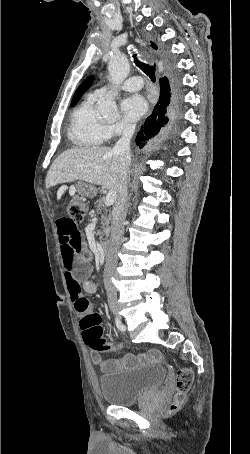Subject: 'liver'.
Returning a JSON list of instances; mask_svg holds the SVG:
<instances>
[{
    "mask_svg": "<svg viewBox=\"0 0 250 454\" xmlns=\"http://www.w3.org/2000/svg\"><path fill=\"white\" fill-rule=\"evenodd\" d=\"M126 173L120 155L109 147L68 149L52 163L46 177V187L61 183L83 181L101 185L118 194Z\"/></svg>",
    "mask_w": 250,
    "mask_h": 454,
    "instance_id": "1",
    "label": "liver"
}]
</instances>
